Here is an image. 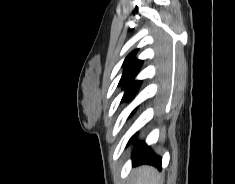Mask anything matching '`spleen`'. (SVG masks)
Here are the masks:
<instances>
[{
    "mask_svg": "<svg viewBox=\"0 0 235 184\" xmlns=\"http://www.w3.org/2000/svg\"><path fill=\"white\" fill-rule=\"evenodd\" d=\"M140 176L137 178L136 184H163L161 176H158L155 168H147L143 166L140 168Z\"/></svg>",
    "mask_w": 235,
    "mask_h": 184,
    "instance_id": "obj_1",
    "label": "spleen"
}]
</instances>
